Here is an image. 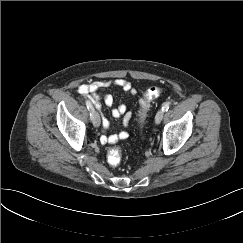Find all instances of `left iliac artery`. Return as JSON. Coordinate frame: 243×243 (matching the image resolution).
Segmentation results:
<instances>
[{
	"label": "left iliac artery",
	"mask_w": 243,
	"mask_h": 243,
	"mask_svg": "<svg viewBox=\"0 0 243 243\" xmlns=\"http://www.w3.org/2000/svg\"><path fill=\"white\" fill-rule=\"evenodd\" d=\"M169 106H170V103H169V102L164 103V105L162 106V110H163L164 112H165V111H168Z\"/></svg>",
	"instance_id": "obj_1"
}]
</instances>
